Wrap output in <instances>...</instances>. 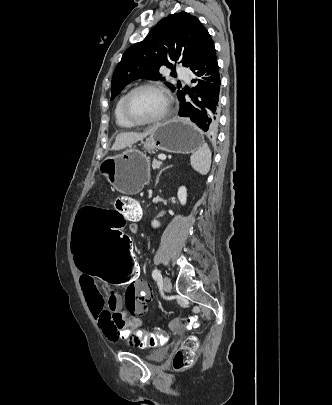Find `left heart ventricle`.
I'll list each match as a JSON object with an SVG mask.
<instances>
[{
  "instance_id": "b2bd125f",
  "label": "left heart ventricle",
  "mask_w": 332,
  "mask_h": 405,
  "mask_svg": "<svg viewBox=\"0 0 332 405\" xmlns=\"http://www.w3.org/2000/svg\"><path fill=\"white\" fill-rule=\"evenodd\" d=\"M127 108L133 118L148 120L163 113L166 108V101L158 91L142 89L130 97Z\"/></svg>"
}]
</instances>
